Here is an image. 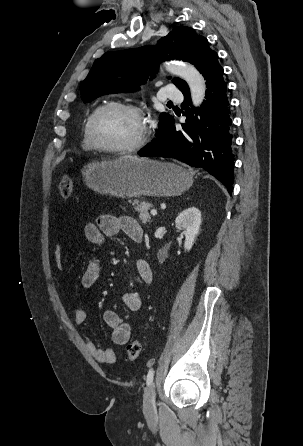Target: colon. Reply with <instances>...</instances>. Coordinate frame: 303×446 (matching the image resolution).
I'll return each mask as SVG.
<instances>
[{
	"mask_svg": "<svg viewBox=\"0 0 303 446\" xmlns=\"http://www.w3.org/2000/svg\"><path fill=\"white\" fill-rule=\"evenodd\" d=\"M59 191L63 198H69L73 191V185L68 175H62L59 180ZM143 343L140 339L132 340L126 346V359L133 361L137 359L142 350Z\"/></svg>",
	"mask_w": 303,
	"mask_h": 446,
	"instance_id": "5ec220e1",
	"label": "colon"
}]
</instances>
